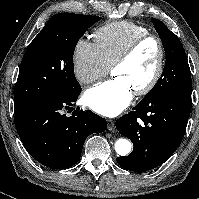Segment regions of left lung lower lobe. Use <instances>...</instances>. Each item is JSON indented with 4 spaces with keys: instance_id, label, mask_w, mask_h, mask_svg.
I'll return each mask as SVG.
<instances>
[{
    "instance_id": "left-lung-lower-lobe-1",
    "label": "left lung lower lobe",
    "mask_w": 199,
    "mask_h": 199,
    "mask_svg": "<svg viewBox=\"0 0 199 199\" xmlns=\"http://www.w3.org/2000/svg\"><path fill=\"white\" fill-rule=\"evenodd\" d=\"M191 105V93L177 92L139 102L131 112L117 119V130L134 145L130 155L117 158L118 164L134 172L163 164L182 141Z\"/></svg>"
}]
</instances>
